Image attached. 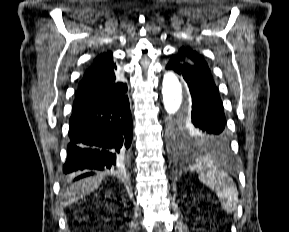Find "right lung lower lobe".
<instances>
[{"label": "right lung lower lobe", "mask_w": 289, "mask_h": 232, "mask_svg": "<svg viewBox=\"0 0 289 232\" xmlns=\"http://www.w3.org/2000/svg\"><path fill=\"white\" fill-rule=\"evenodd\" d=\"M127 90L112 99L74 106L69 121L65 174L75 180L120 166L132 142V117Z\"/></svg>", "instance_id": "1"}]
</instances>
